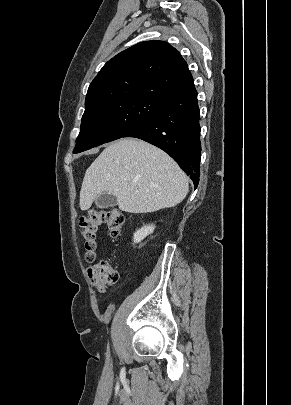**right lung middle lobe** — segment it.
I'll list each match as a JSON object with an SVG mask.
<instances>
[{"instance_id": "1", "label": "right lung middle lobe", "mask_w": 291, "mask_h": 405, "mask_svg": "<svg viewBox=\"0 0 291 405\" xmlns=\"http://www.w3.org/2000/svg\"><path fill=\"white\" fill-rule=\"evenodd\" d=\"M163 104L146 98H125L85 108L73 153L125 137L153 117Z\"/></svg>"}]
</instances>
